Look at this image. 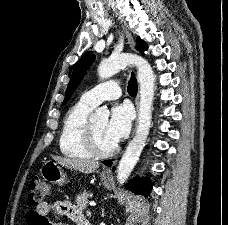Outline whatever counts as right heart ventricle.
Here are the masks:
<instances>
[{
	"mask_svg": "<svg viewBox=\"0 0 228 225\" xmlns=\"http://www.w3.org/2000/svg\"><path fill=\"white\" fill-rule=\"evenodd\" d=\"M93 109L94 106L80 99L67 111L59 137V149L65 157L87 159L95 156L86 142V129Z\"/></svg>",
	"mask_w": 228,
	"mask_h": 225,
	"instance_id": "1",
	"label": "right heart ventricle"
}]
</instances>
